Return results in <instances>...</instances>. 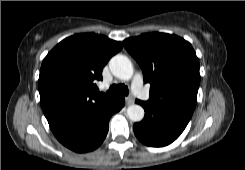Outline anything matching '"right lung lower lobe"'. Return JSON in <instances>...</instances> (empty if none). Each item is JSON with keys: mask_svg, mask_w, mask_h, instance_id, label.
Returning <instances> with one entry per match:
<instances>
[{"mask_svg": "<svg viewBox=\"0 0 245 170\" xmlns=\"http://www.w3.org/2000/svg\"><path fill=\"white\" fill-rule=\"evenodd\" d=\"M125 104L123 96H113L103 103L93 114L61 143L75 152H88L99 147L104 141L108 129L110 117L118 112Z\"/></svg>", "mask_w": 245, "mask_h": 170, "instance_id": "right-lung-lower-lobe-1", "label": "right lung lower lobe"}]
</instances>
